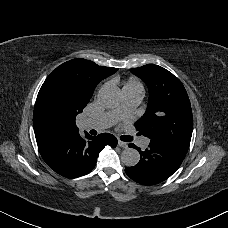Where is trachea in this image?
I'll return each instance as SVG.
<instances>
[{"mask_svg":"<svg viewBox=\"0 0 228 228\" xmlns=\"http://www.w3.org/2000/svg\"><path fill=\"white\" fill-rule=\"evenodd\" d=\"M121 140L125 141V142H130V141L133 140V136H125V135H123V136H121Z\"/></svg>","mask_w":228,"mask_h":228,"instance_id":"trachea-1","label":"trachea"}]
</instances>
